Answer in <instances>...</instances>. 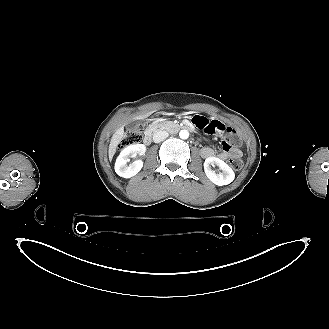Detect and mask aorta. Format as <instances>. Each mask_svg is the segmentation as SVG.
Segmentation results:
<instances>
[{
  "label": "aorta",
  "instance_id": "aorta-1",
  "mask_svg": "<svg viewBox=\"0 0 329 329\" xmlns=\"http://www.w3.org/2000/svg\"><path fill=\"white\" fill-rule=\"evenodd\" d=\"M179 137H180L181 139H188V137H189V132H188V130H181V131L179 132Z\"/></svg>",
  "mask_w": 329,
  "mask_h": 329
}]
</instances>
